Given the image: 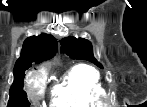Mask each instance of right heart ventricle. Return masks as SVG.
Returning a JSON list of instances; mask_svg holds the SVG:
<instances>
[{
    "mask_svg": "<svg viewBox=\"0 0 147 107\" xmlns=\"http://www.w3.org/2000/svg\"><path fill=\"white\" fill-rule=\"evenodd\" d=\"M104 87L99 71L86 64L73 66L53 89L54 107H101Z\"/></svg>",
    "mask_w": 147,
    "mask_h": 107,
    "instance_id": "e07e8e85",
    "label": "right heart ventricle"
}]
</instances>
